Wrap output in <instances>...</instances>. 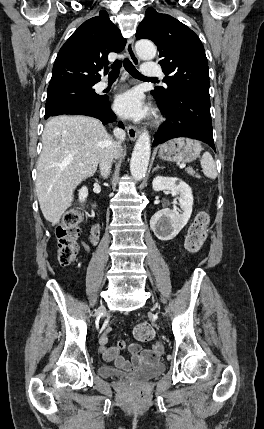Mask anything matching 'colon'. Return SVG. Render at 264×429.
<instances>
[{"label":"colon","instance_id":"1","mask_svg":"<svg viewBox=\"0 0 264 429\" xmlns=\"http://www.w3.org/2000/svg\"><path fill=\"white\" fill-rule=\"evenodd\" d=\"M81 221V213L73 209L64 215L62 223L57 227L58 260L63 266L73 263L77 256ZM208 223L207 212L201 211L196 215L185 238V248L188 252L196 253L200 250L206 239ZM134 336L140 342L150 341L154 336V329L149 323L141 322L135 326Z\"/></svg>","mask_w":264,"mask_h":429}]
</instances>
